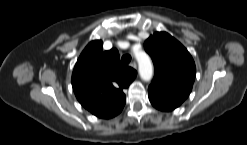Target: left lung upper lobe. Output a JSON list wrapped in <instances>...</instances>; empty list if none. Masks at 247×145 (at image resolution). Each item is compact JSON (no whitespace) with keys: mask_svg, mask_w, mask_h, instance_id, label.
<instances>
[{"mask_svg":"<svg viewBox=\"0 0 247 145\" xmlns=\"http://www.w3.org/2000/svg\"><path fill=\"white\" fill-rule=\"evenodd\" d=\"M151 56L155 76L150 87L186 99L195 79L196 67L187 49L166 32H156L144 43Z\"/></svg>","mask_w":247,"mask_h":145,"instance_id":"5c2ea615","label":"left lung upper lobe"}]
</instances>
